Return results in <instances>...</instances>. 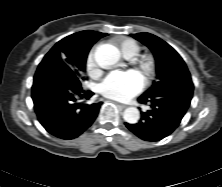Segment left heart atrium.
<instances>
[{
	"instance_id": "39dd6f15",
	"label": "left heart atrium",
	"mask_w": 222,
	"mask_h": 187,
	"mask_svg": "<svg viewBox=\"0 0 222 187\" xmlns=\"http://www.w3.org/2000/svg\"><path fill=\"white\" fill-rule=\"evenodd\" d=\"M145 86L141 73L135 69L112 71L99 85V92L110 99L129 101Z\"/></svg>"
}]
</instances>
